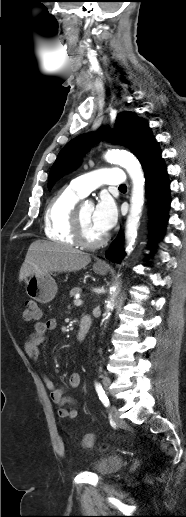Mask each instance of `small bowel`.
Listing matches in <instances>:
<instances>
[{"label": "small bowel", "mask_w": 186, "mask_h": 517, "mask_svg": "<svg viewBox=\"0 0 186 517\" xmlns=\"http://www.w3.org/2000/svg\"><path fill=\"white\" fill-rule=\"evenodd\" d=\"M56 326L57 321L53 318L44 321H37L34 324V331L30 334L24 345L25 353L30 359H37L38 346L44 341L45 334L55 330ZM80 382V375L78 373H73L69 378L68 386L71 388H76L80 385ZM44 383L47 389L50 391L52 401L58 407V416L61 418H76L79 414L78 409L76 408L77 402L74 398L65 395L66 387H57L55 383L48 377H44ZM67 405H69L70 408H68ZM91 446L92 445L89 447Z\"/></svg>", "instance_id": "small-bowel-1"}]
</instances>
